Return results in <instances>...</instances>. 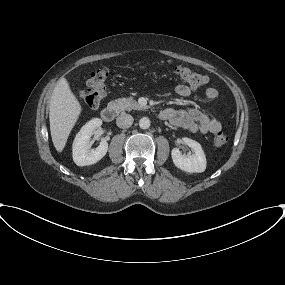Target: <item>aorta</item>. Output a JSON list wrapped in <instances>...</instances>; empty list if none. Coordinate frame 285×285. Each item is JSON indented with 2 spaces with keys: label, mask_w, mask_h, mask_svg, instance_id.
I'll return each instance as SVG.
<instances>
[{
  "label": "aorta",
  "mask_w": 285,
  "mask_h": 285,
  "mask_svg": "<svg viewBox=\"0 0 285 285\" xmlns=\"http://www.w3.org/2000/svg\"><path fill=\"white\" fill-rule=\"evenodd\" d=\"M150 120L147 117H143L139 120V126L141 129H148L150 127Z\"/></svg>",
  "instance_id": "obj_1"
}]
</instances>
